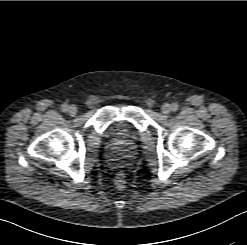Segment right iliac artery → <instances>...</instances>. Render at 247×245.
I'll return each instance as SVG.
<instances>
[{
    "label": "right iliac artery",
    "instance_id": "82829eb1",
    "mask_svg": "<svg viewBox=\"0 0 247 245\" xmlns=\"http://www.w3.org/2000/svg\"><path fill=\"white\" fill-rule=\"evenodd\" d=\"M61 110H62L63 112L68 111V105H67V104H63V105L61 106Z\"/></svg>",
    "mask_w": 247,
    "mask_h": 245
}]
</instances>
